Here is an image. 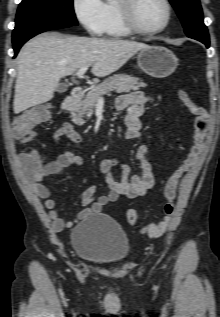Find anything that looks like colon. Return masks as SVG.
Instances as JSON below:
<instances>
[{
    "label": "colon",
    "instance_id": "colon-1",
    "mask_svg": "<svg viewBox=\"0 0 220 317\" xmlns=\"http://www.w3.org/2000/svg\"><path fill=\"white\" fill-rule=\"evenodd\" d=\"M180 98L188 107L189 111L194 116V134L192 139L191 147L186 154L183 161L176 167L168 176L164 188L163 194L166 199L164 204V213L165 216L163 220L158 223H149L146 225L141 224L140 216L135 209H130L127 211V220L132 226H139L141 231L147 233L150 236L157 237L162 235L167 231L169 227H171L175 222V198L177 193V187L180 179L184 175V173L194 164L197 160L209 130L210 126V116L207 110L197 104L189 94L181 90ZM50 109L46 105H40L33 107L29 110L18 114L13 118L12 121V130L14 133V137L16 139L22 140L23 142H29L33 138V129L34 127L46 121L50 117ZM26 163L35 168L39 169L43 162L41 157L35 153L30 152L26 153Z\"/></svg>",
    "mask_w": 220,
    "mask_h": 317
}]
</instances>
